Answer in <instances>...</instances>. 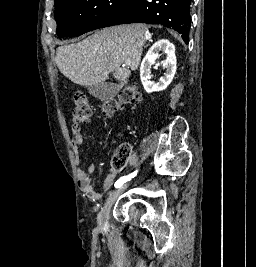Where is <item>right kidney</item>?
Wrapping results in <instances>:
<instances>
[{"label": "right kidney", "mask_w": 256, "mask_h": 267, "mask_svg": "<svg viewBox=\"0 0 256 267\" xmlns=\"http://www.w3.org/2000/svg\"><path fill=\"white\" fill-rule=\"evenodd\" d=\"M166 54V60L161 62L163 68H166V72L159 82H150L151 66L155 64L158 56ZM176 56H175V46L169 42V40H158L150 50H148L145 58H143L140 66V80L143 84L144 90L150 94V92H161V90H166L167 86L171 84L175 74H176Z\"/></svg>", "instance_id": "1"}]
</instances>
